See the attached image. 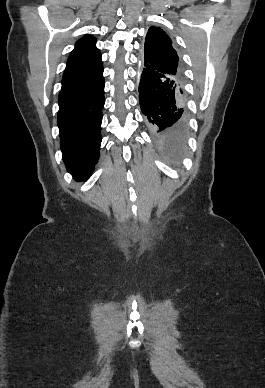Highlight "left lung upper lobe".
<instances>
[{"label":"left lung upper lobe","mask_w":265,"mask_h":388,"mask_svg":"<svg viewBox=\"0 0 265 388\" xmlns=\"http://www.w3.org/2000/svg\"><path fill=\"white\" fill-rule=\"evenodd\" d=\"M143 66L162 72L183 84V72L177 52L170 37L159 27L151 26L148 30Z\"/></svg>","instance_id":"1"}]
</instances>
